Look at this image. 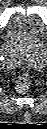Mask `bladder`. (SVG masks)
<instances>
[{
  "mask_svg": "<svg viewBox=\"0 0 47 129\" xmlns=\"http://www.w3.org/2000/svg\"><path fill=\"white\" fill-rule=\"evenodd\" d=\"M44 25L33 15H18L13 17L6 27L7 37L13 40L27 37H39L43 34Z\"/></svg>",
  "mask_w": 47,
  "mask_h": 129,
  "instance_id": "31cf9c89",
  "label": "bladder"
}]
</instances>
